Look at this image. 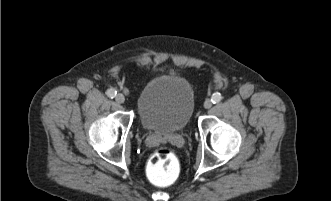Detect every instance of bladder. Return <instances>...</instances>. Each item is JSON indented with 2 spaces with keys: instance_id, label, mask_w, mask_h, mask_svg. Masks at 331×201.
<instances>
[{
  "instance_id": "obj_1",
  "label": "bladder",
  "mask_w": 331,
  "mask_h": 201,
  "mask_svg": "<svg viewBox=\"0 0 331 201\" xmlns=\"http://www.w3.org/2000/svg\"><path fill=\"white\" fill-rule=\"evenodd\" d=\"M136 108L145 130L159 135L178 133L185 129L194 113V92L185 79L160 75L141 89Z\"/></svg>"
}]
</instances>
